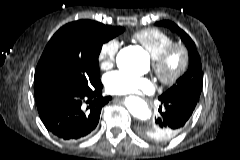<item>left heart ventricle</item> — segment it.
<instances>
[{
    "label": "left heart ventricle",
    "instance_id": "b2bd125f",
    "mask_svg": "<svg viewBox=\"0 0 240 160\" xmlns=\"http://www.w3.org/2000/svg\"><path fill=\"white\" fill-rule=\"evenodd\" d=\"M177 63H178V59H177V57L175 56V57H173V58L171 59V61H170V68H171V69H174V68L176 67Z\"/></svg>",
    "mask_w": 240,
    "mask_h": 160
}]
</instances>
